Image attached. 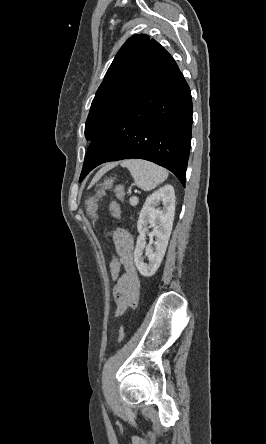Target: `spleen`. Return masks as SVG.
I'll return each mask as SVG.
<instances>
[{"label": "spleen", "mask_w": 266, "mask_h": 444, "mask_svg": "<svg viewBox=\"0 0 266 444\" xmlns=\"http://www.w3.org/2000/svg\"><path fill=\"white\" fill-rule=\"evenodd\" d=\"M121 166L128 168L135 184L144 191L154 189L168 177V172L164 168L146 160H124Z\"/></svg>", "instance_id": "1"}]
</instances>
